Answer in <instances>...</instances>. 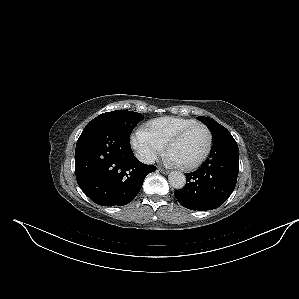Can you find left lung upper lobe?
Wrapping results in <instances>:
<instances>
[{"instance_id":"1","label":"left lung upper lobe","mask_w":299,"mask_h":299,"mask_svg":"<svg viewBox=\"0 0 299 299\" xmlns=\"http://www.w3.org/2000/svg\"><path fill=\"white\" fill-rule=\"evenodd\" d=\"M198 119L209 128L212 133V137H215L223 132H228V130L224 126L220 125L212 118L200 116L198 117Z\"/></svg>"}]
</instances>
